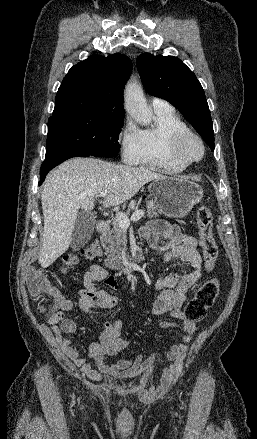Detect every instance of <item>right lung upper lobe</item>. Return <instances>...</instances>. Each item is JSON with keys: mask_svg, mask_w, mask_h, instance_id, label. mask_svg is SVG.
Masks as SVG:
<instances>
[{"mask_svg": "<svg viewBox=\"0 0 257 439\" xmlns=\"http://www.w3.org/2000/svg\"><path fill=\"white\" fill-rule=\"evenodd\" d=\"M131 72L132 61L120 53L79 62L64 77L51 117L74 111L124 114L123 89Z\"/></svg>", "mask_w": 257, "mask_h": 439, "instance_id": "cb5924a9", "label": "right lung upper lobe"}]
</instances>
